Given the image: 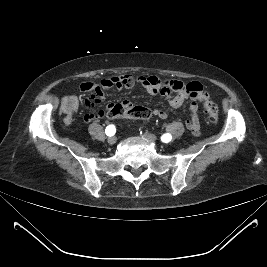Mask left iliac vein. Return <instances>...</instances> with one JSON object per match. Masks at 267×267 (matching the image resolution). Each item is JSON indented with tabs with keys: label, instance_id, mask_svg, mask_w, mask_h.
Masks as SVG:
<instances>
[{
	"label": "left iliac vein",
	"instance_id": "obj_1",
	"mask_svg": "<svg viewBox=\"0 0 267 267\" xmlns=\"http://www.w3.org/2000/svg\"><path fill=\"white\" fill-rule=\"evenodd\" d=\"M142 136L144 138H146L147 140L151 141V142H156L157 141L156 136L151 134V133L145 132Z\"/></svg>",
	"mask_w": 267,
	"mask_h": 267
}]
</instances>
